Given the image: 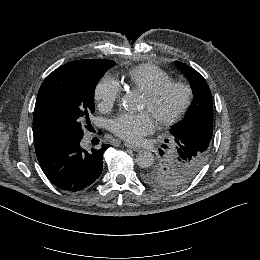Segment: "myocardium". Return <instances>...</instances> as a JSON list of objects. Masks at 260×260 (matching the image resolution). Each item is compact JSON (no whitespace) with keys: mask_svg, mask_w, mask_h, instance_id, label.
<instances>
[{"mask_svg":"<svg viewBox=\"0 0 260 260\" xmlns=\"http://www.w3.org/2000/svg\"><path fill=\"white\" fill-rule=\"evenodd\" d=\"M178 88L181 89L185 94V99L182 105L169 117L158 121L155 125L159 129H164L169 126H172L179 122L183 116L188 112L190 109L193 98H194V91L192 87L179 80H170L165 83L160 84L159 86L155 87L154 89L144 92L143 95L146 97L148 103L152 106L158 103L171 89Z\"/></svg>","mask_w":260,"mask_h":260,"instance_id":"1","label":"myocardium"}]
</instances>
